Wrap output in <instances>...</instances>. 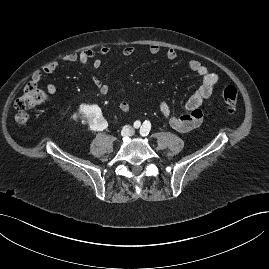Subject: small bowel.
<instances>
[{
	"mask_svg": "<svg viewBox=\"0 0 269 269\" xmlns=\"http://www.w3.org/2000/svg\"><path fill=\"white\" fill-rule=\"evenodd\" d=\"M148 50L151 54H158L161 51V48L154 44L151 45ZM134 51L135 49L133 46H127L122 50L121 55L122 57H129ZM110 52L111 48L109 46H102L97 50L83 49L78 53L66 54L61 58L60 62H50L45 64L41 70H36L32 74L31 80L38 84L41 81L43 74H51L55 72L61 63H81L92 69H99L102 66L101 58L107 56ZM165 55L170 61H174L178 57L176 50L172 48L167 49ZM186 65L191 72L200 77L201 82L195 92L186 101L184 112L180 114L173 112L170 106L165 102H161L159 105L161 113L168 120L171 127L180 132H189L200 125L203 119V113L200 107L205 99H208L213 95L220 79L217 73L211 72L205 65L196 59L187 60ZM92 81L101 94L108 95L110 93L111 88L107 83L103 82L98 77H93ZM46 92V100H49L50 97L57 92L56 85L53 83L47 84ZM118 107L124 113L130 111V104L125 99L119 101Z\"/></svg>",
	"mask_w": 269,
	"mask_h": 269,
	"instance_id": "obj_1",
	"label": "small bowel"
}]
</instances>
